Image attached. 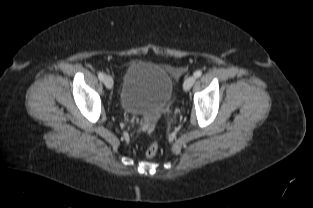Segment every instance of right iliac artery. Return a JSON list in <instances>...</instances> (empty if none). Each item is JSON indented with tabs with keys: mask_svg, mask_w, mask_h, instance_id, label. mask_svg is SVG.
I'll use <instances>...</instances> for the list:
<instances>
[{
	"mask_svg": "<svg viewBox=\"0 0 313 208\" xmlns=\"http://www.w3.org/2000/svg\"><path fill=\"white\" fill-rule=\"evenodd\" d=\"M98 78L100 81H103L104 80V73L103 72H99L98 73Z\"/></svg>",
	"mask_w": 313,
	"mask_h": 208,
	"instance_id": "obj_1",
	"label": "right iliac artery"
}]
</instances>
